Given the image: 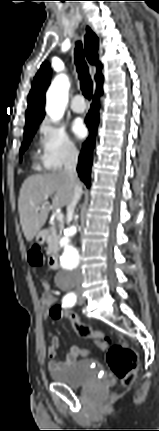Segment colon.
Listing matches in <instances>:
<instances>
[{
    "label": "colon",
    "instance_id": "1",
    "mask_svg": "<svg viewBox=\"0 0 159 431\" xmlns=\"http://www.w3.org/2000/svg\"><path fill=\"white\" fill-rule=\"evenodd\" d=\"M29 260L37 265L42 262L41 253L34 249L29 253ZM47 308L52 310L51 322L73 325L79 337L96 339V348L106 352L107 364L113 375L124 385L130 386L136 378L139 366V357L136 351L127 342H118L109 345L103 341V334L93 330L89 325L81 322L80 313L76 309H67L62 301H55L54 296L46 297ZM52 305H54L52 309ZM80 353H89V350H80ZM88 357V354H81Z\"/></svg>",
    "mask_w": 159,
    "mask_h": 431
}]
</instances>
